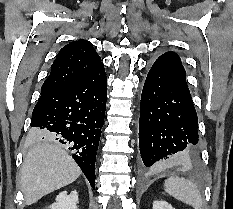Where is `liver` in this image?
<instances>
[{
    "label": "liver",
    "mask_w": 233,
    "mask_h": 209,
    "mask_svg": "<svg viewBox=\"0 0 233 209\" xmlns=\"http://www.w3.org/2000/svg\"><path fill=\"white\" fill-rule=\"evenodd\" d=\"M40 139L44 133L31 131ZM80 168L58 144L38 142L26 154L21 170V187L26 205L36 203L43 196L67 186L80 175Z\"/></svg>",
    "instance_id": "6515ba94"
}]
</instances>
